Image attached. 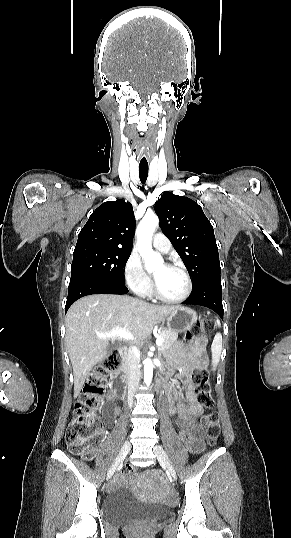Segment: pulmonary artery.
Returning a JSON list of instances; mask_svg holds the SVG:
<instances>
[{
	"label": "pulmonary artery",
	"mask_w": 291,
	"mask_h": 538,
	"mask_svg": "<svg viewBox=\"0 0 291 538\" xmlns=\"http://www.w3.org/2000/svg\"><path fill=\"white\" fill-rule=\"evenodd\" d=\"M153 247L161 253L167 254L171 250L169 239L162 233H157L152 240Z\"/></svg>",
	"instance_id": "e3ab8cb5"
}]
</instances>
